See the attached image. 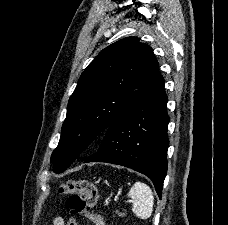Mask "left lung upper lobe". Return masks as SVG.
<instances>
[{"label":"left lung upper lobe","instance_id":"5c2ea615","mask_svg":"<svg viewBox=\"0 0 228 225\" xmlns=\"http://www.w3.org/2000/svg\"><path fill=\"white\" fill-rule=\"evenodd\" d=\"M161 77L152 48L126 37L103 49L81 74L69 99L51 162L61 173Z\"/></svg>","mask_w":228,"mask_h":225}]
</instances>
